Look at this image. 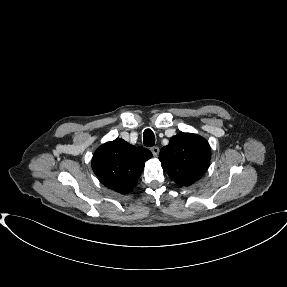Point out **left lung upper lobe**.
<instances>
[{
    "instance_id": "5c2ea615",
    "label": "left lung upper lobe",
    "mask_w": 287,
    "mask_h": 287,
    "mask_svg": "<svg viewBox=\"0 0 287 287\" xmlns=\"http://www.w3.org/2000/svg\"><path fill=\"white\" fill-rule=\"evenodd\" d=\"M211 157L208 142L192 133L172 137L159 154L162 167L170 178L180 185H191L207 171Z\"/></svg>"
}]
</instances>
